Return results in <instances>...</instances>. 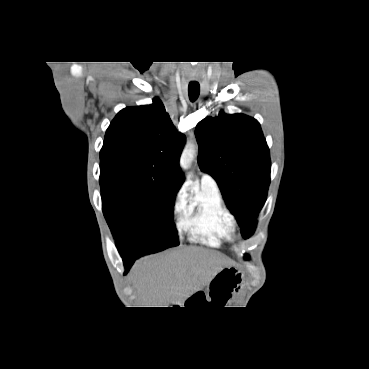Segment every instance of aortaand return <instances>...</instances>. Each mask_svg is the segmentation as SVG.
<instances>
[{
	"instance_id": "aorta-1",
	"label": "aorta",
	"mask_w": 369,
	"mask_h": 369,
	"mask_svg": "<svg viewBox=\"0 0 369 369\" xmlns=\"http://www.w3.org/2000/svg\"><path fill=\"white\" fill-rule=\"evenodd\" d=\"M195 146L192 142H187L184 150H183V153H182V156H181V159H180V167L182 170H187L192 161H193V158H194V155H195Z\"/></svg>"
}]
</instances>
